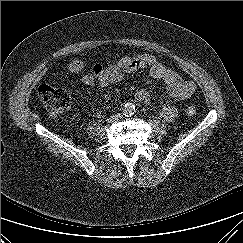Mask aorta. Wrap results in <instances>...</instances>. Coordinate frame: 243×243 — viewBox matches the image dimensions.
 <instances>
[{"label": "aorta", "instance_id": "aorta-1", "mask_svg": "<svg viewBox=\"0 0 243 243\" xmlns=\"http://www.w3.org/2000/svg\"><path fill=\"white\" fill-rule=\"evenodd\" d=\"M134 110H135V107H134L133 104L127 103V104L124 105V113L125 114H129L130 115V114H132L134 112Z\"/></svg>", "mask_w": 243, "mask_h": 243}]
</instances>
